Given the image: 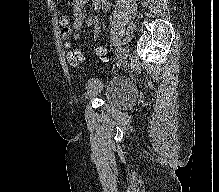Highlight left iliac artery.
I'll list each match as a JSON object with an SVG mask.
<instances>
[{
	"label": "left iliac artery",
	"instance_id": "1",
	"mask_svg": "<svg viewBox=\"0 0 219 192\" xmlns=\"http://www.w3.org/2000/svg\"><path fill=\"white\" fill-rule=\"evenodd\" d=\"M120 52H121V48H118L117 51H116V58L118 57Z\"/></svg>",
	"mask_w": 219,
	"mask_h": 192
}]
</instances>
